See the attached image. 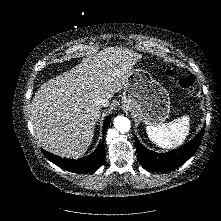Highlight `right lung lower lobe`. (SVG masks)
Segmentation results:
<instances>
[{
	"instance_id": "right-lung-lower-lobe-1",
	"label": "right lung lower lobe",
	"mask_w": 221,
	"mask_h": 221,
	"mask_svg": "<svg viewBox=\"0 0 221 221\" xmlns=\"http://www.w3.org/2000/svg\"><path fill=\"white\" fill-rule=\"evenodd\" d=\"M111 117L107 116L103 123V138L98 144L96 150L89 156L75 160V159H63L59 156L51 154L42 150L44 156L57 166L74 173L85 174L98 169L105 160V148H104V135L106 129L109 126Z\"/></svg>"
}]
</instances>
